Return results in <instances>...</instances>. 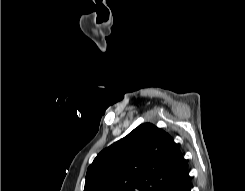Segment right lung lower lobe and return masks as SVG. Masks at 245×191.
I'll list each match as a JSON object with an SVG mask.
<instances>
[{"label":"right lung lower lobe","instance_id":"1","mask_svg":"<svg viewBox=\"0 0 245 191\" xmlns=\"http://www.w3.org/2000/svg\"><path fill=\"white\" fill-rule=\"evenodd\" d=\"M161 191H191L189 174L165 186Z\"/></svg>","mask_w":245,"mask_h":191}]
</instances>
